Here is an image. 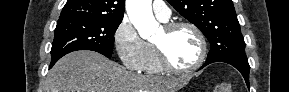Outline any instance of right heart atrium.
<instances>
[{"instance_id": "obj_1", "label": "right heart atrium", "mask_w": 289, "mask_h": 92, "mask_svg": "<svg viewBox=\"0 0 289 92\" xmlns=\"http://www.w3.org/2000/svg\"><path fill=\"white\" fill-rule=\"evenodd\" d=\"M114 46L122 64L129 70H143L149 56V44L138 34L134 25L123 18L115 29Z\"/></svg>"}]
</instances>
